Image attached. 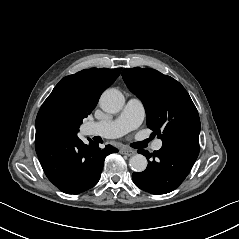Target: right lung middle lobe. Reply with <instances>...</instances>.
<instances>
[{"label":"right lung middle lobe","instance_id":"dd1d6c3e","mask_svg":"<svg viewBox=\"0 0 239 239\" xmlns=\"http://www.w3.org/2000/svg\"><path fill=\"white\" fill-rule=\"evenodd\" d=\"M90 112L66 102H55L49 105L41 114L40 130H58L77 136L82 120Z\"/></svg>","mask_w":239,"mask_h":239}]
</instances>
